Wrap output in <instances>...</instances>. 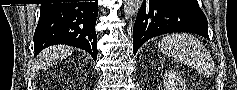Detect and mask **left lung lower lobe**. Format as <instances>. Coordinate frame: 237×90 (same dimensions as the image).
Wrapping results in <instances>:
<instances>
[{
	"label": "left lung lower lobe",
	"instance_id": "obj_1",
	"mask_svg": "<svg viewBox=\"0 0 237 90\" xmlns=\"http://www.w3.org/2000/svg\"><path fill=\"white\" fill-rule=\"evenodd\" d=\"M189 32L207 39L208 22L197 0H144L133 28V50L152 37Z\"/></svg>",
	"mask_w": 237,
	"mask_h": 90
}]
</instances>
